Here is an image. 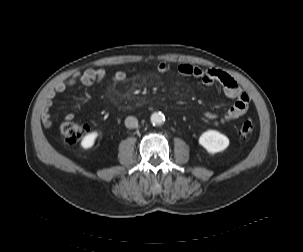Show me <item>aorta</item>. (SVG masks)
I'll use <instances>...</instances> for the list:
<instances>
[{"label":"aorta","mask_w":303,"mask_h":252,"mask_svg":"<svg viewBox=\"0 0 303 252\" xmlns=\"http://www.w3.org/2000/svg\"><path fill=\"white\" fill-rule=\"evenodd\" d=\"M150 120L154 125H162L165 121V116L161 112H154L151 115Z\"/></svg>","instance_id":"aorta-1"}]
</instances>
